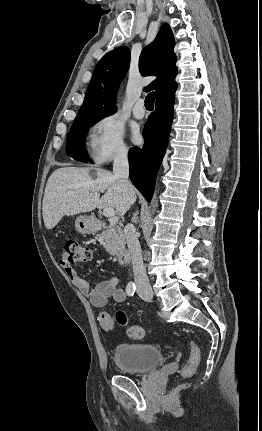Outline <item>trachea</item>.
<instances>
[{"label":"trachea","mask_w":262,"mask_h":431,"mask_svg":"<svg viewBox=\"0 0 262 431\" xmlns=\"http://www.w3.org/2000/svg\"><path fill=\"white\" fill-rule=\"evenodd\" d=\"M145 107L146 109L154 108V92H150L145 98Z\"/></svg>","instance_id":"3493384b"}]
</instances>
